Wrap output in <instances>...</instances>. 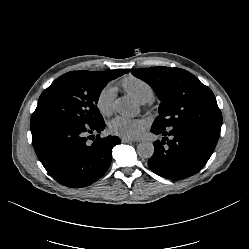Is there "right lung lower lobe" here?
I'll return each instance as SVG.
<instances>
[{
    "instance_id": "98d812e1",
    "label": "right lung lower lobe",
    "mask_w": 249,
    "mask_h": 249,
    "mask_svg": "<svg viewBox=\"0 0 249 249\" xmlns=\"http://www.w3.org/2000/svg\"><path fill=\"white\" fill-rule=\"evenodd\" d=\"M104 120L87 125L50 119L31 122L34 150L47 172L60 184L80 188L101 178L110 166L117 136L101 138ZM97 134L93 143L88 138ZM87 135H90L86 138Z\"/></svg>"
}]
</instances>
